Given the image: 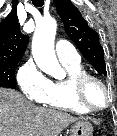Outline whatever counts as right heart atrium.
I'll return each instance as SVG.
<instances>
[{
	"label": "right heart atrium",
	"instance_id": "1",
	"mask_svg": "<svg viewBox=\"0 0 117 136\" xmlns=\"http://www.w3.org/2000/svg\"><path fill=\"white\" fill-rule=\"evenodd\" d=\"M16 79L27 99L40 104L45 103L50 89V80L32 60L27 61L19 68Z\"/></svg>",
	"mask_w": 117,
	"mask_h": 136
}]
</instances>
